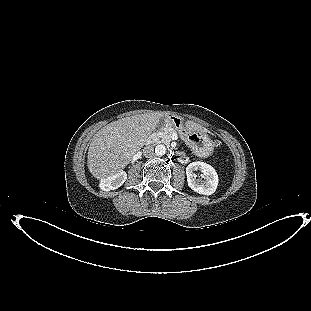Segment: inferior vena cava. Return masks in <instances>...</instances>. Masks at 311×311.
<instances>
[{
  "mask_svg": "<svg viewBox=\"0 0 311 311\" xmlns=\"http://www.w3.org/2000/svg\"><path fill=\"white\" fill-rule=\"evenodd\" d=\"M143 154L145 157H152L154 155V147L152 145H147L143 149Z\"/></svg>",
  "mask_w": 311,
  "mask_h": 311,
  "instance_id": "inferior-vena-cava-1",
  "label": "inferior vena cava"
}]
</instances>
